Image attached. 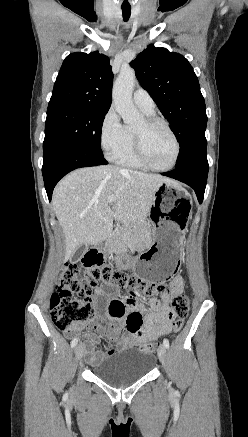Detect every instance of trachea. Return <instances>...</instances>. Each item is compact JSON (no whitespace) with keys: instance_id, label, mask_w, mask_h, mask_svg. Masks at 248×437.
Segmentation results:
<instances>
[{"instance_id":"trachea-1","label":"trachea","mask_w":248,"mask_h":437,"mask_svg":"<svg viewBox=\"0 0 248 437\" xmlns=\"http://www.w3.org/2000/svg\"><path fill=\"white\" fill-rule=\"evenodd\" d=\"M122 14H123L124 21H128L131 15V8L122 7Z\"/></svg>"}]
</instances>
